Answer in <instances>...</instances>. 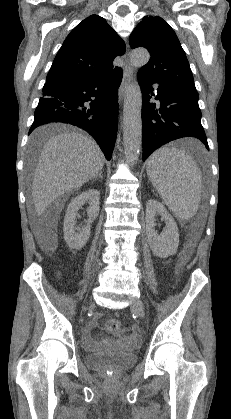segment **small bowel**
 Returning <instances> with one entry per match:
<instances>
[{"mask_svg":"<svg viewBox=\"0 0 231 419\" xmlns=\"http://www.w3.org/2000/svg\"><path fill=\"white\" fill-rule=\"evenodd\" d=\"M98 326L97 320L91 321L87 327L85 328L83 332V338H84V347L88 350H93L97 347L99 344H105L108 342L105 338H99L95 339L92 335V331L96 329ZM122 343L126 344H136L138 342V338L136 334H133L130 337H127L121 341Z\"/></svg>","mask_w":231,"mask_h":419,"instance_id":"1","label":"small bowel"}]
</instances>
